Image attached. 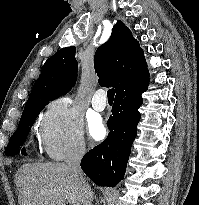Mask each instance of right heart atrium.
Returning <instances> with one entry per match:
<instances>
[{
	"mask_svg": "<svg viewBox=\"0 0 199 205\" xmlns=\"http://www.w3.org/2000/svg\"><path fill=\"white\" fill-rule=\"evenodd\" d=\"M40 135L48 157L63 160L86 152L83 122L69 98L51 101L42 116Z\"/></svg>",
	"mask_w": 199,
	"mask_h": 205,
	"instance_id": "1",
	"label": "right heart atrium"
}]
</instances>
